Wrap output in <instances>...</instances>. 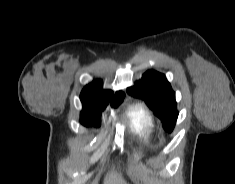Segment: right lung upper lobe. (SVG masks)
Segmentation results:
<instances>
[{
    "label": "right lung upper lobe",
    "mask_w": 235,
    "mask_h": 184,
    "mask_svg": "<svg viewBox=\"0 0 235 184\" xmlns=\"http://www.w3.org/2000/svg\"><path fill=\"white\" fill-rule=\"evenodd\" d=\"M124 96L122 91L114 94L112 90H104L102 81L95 80L83 88L80 99L84 106L102 107L107 106L109 102L111 105L119 104Z\"/></svg>",
    "instance_id": "1"
}]
</instances>
